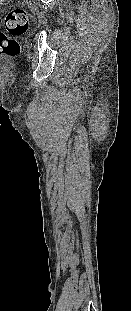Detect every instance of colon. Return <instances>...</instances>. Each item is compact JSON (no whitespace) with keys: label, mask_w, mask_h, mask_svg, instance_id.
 Returning a JSON list of instances; mask_svg holds the SVG:
<instances>
[{"label":"colon","mask_w":131,"mask_h":311,"mask_svg":"<svg viewBox=\"0 0 131 311\" xmlns=\"http://www.w3.org/2000/svg\"><path fill=\"white\" fill-rule=\"evenodd\" d=\"M7 0H0V7ZM0 55L16 56L20 52V45L17 37L23 35L28 26V16L24 9L14 8L9 11L3 19L0 18Z\"/></svg>","instance_id":"5ec220e1"}]
</instances>
